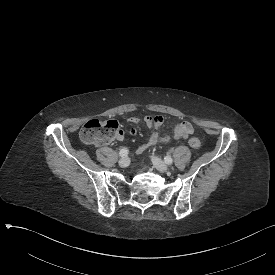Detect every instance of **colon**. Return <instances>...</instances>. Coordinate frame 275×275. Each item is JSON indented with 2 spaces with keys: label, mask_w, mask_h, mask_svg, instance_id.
Returning <instances> with one entry per match:
<instances>
[{
  "label": "colon",
  "mask_w": 275,
  "mask_h": 275,
  "mask_svg": "<svg viewBox=\"0 0 275 275\" xmlns=\"http://www.w3.org/2000/svg\"><path fill=\"white\" fill-rule=\"evenodd\" d=\"M122 128L113 120L101 121L97 119L88 120L80 130L79 136L85 144L108 143L114 140H120ZM189 145L198 149L201 146L198 138H190Z\"/></svg>",
  "instance_id": "5ec220e1"
}]
</instances>
